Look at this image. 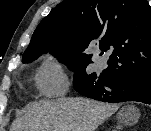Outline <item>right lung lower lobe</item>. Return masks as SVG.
<instances>
[{
  "mask_svg": "<svg viewBox=\"0 0 151 131\" xmlns=\"http://www.w3.org/2000/svg\"><path fill=\"white\" fill-rule=\"evenodd\" d=\"M73 86L80 94L99 101L151 104V73L74 78Z\"/></svg>",
  "mask_w": 151,
  "mask_h": 131,
  "instance_id": "1",
  "label": "right lung lower lobe"
}]
</instances>
